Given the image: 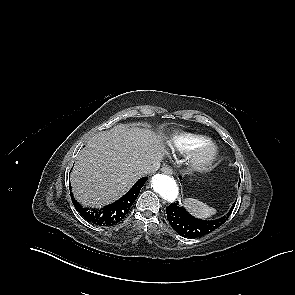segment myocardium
Segmentation results:
<instances>
[{
    "mask_svg": "<svg viewBox=\"0 0 295 295\" xmlns=\"http://www.w3.org/2000/svg\"><path fill=\"white\" fill-rule=\"evenodd\" d=\"M218 155V146L212 141H205L191 151L189 162L194 170L205 171L212 166Z\"/></svg>",
    "mask_w": 295,
    "mask_h": 295,
    "instance_id": "1",
    "label": "myocardium"
}]
</instances>
